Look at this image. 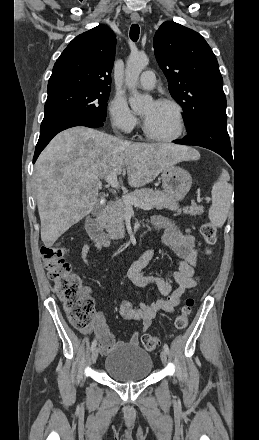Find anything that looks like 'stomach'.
I'll use <instances>...</instances> for the list:
<instances>
[{"instance_id":"stomach-1","label":"stomach","mask_w":259,"mask_h":440,"mask_svg":"<svg viewBox=\"0 0 259 440\" xmlns=\"http://www.w3.org/2000/svg\"><path fill=\"white\" fill-rule=\"evenodd\" d=\"M192 185L190 173L180 167L170 166L162 171L164 192L176 201L184 199Z\"/></svg>"}]
</instances>
